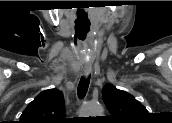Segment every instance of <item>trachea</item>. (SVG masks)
Masks as SVG:
<instances>
[{"instance_id":"1","label":"trachea","mask_w":172,"mask_h":123,"mask_svg":"<svg viewBox=\"0 0 172 123\" xmlns=\"http://www.w3.org/2000/svg\"><path fill=\"white\" fill-rule=\"evenodd\" d=\"M90 83V78L84 79L81 78L78 85V96L80 99H83L87 93L88 87Z\"/></svg>"}]
</instances>
